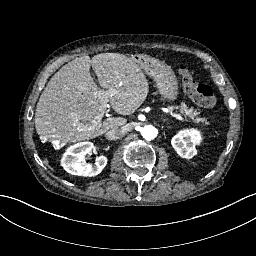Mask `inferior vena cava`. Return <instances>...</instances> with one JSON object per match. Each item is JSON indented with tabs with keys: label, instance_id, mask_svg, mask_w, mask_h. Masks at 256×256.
<instances>
[{
	"label": "inferior vena cava",
	"instance_id": "1",
	"mask_svg": "<svg viewBox=\"0 0 256 256\" xmlns=\"http://www.w3.org/2000/svg\"><path fill=\"white\" fill-rule=\"evenodd\" d=\"M126 131L123 128L115 127L108 130L105 134L108 140H116L125 135Z\"/></svg>",
	"mask_w": 256,
	"mask_h": 256
}]
</instances>
